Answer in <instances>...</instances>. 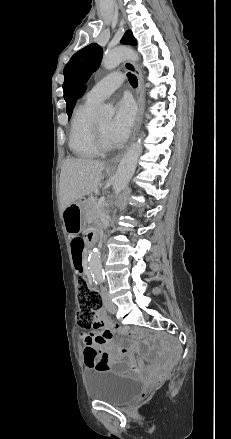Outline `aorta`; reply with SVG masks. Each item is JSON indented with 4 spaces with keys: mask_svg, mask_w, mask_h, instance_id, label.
Segmentation results:
<instances>
[{
    "mask_svg": "<svg viewBox=\"0 0 231 439\" xmlns=\"http://www.w3.org/2000/svg\"><path fill=\"white\" fill-rule=\"evenodd\" d=\"M137 54L129 48L118 47L106 53L103 57L102 64L105 69L112 70L117 67L122 61L126 59L136 60ZM102 118H111L114 114V109L111 106L103 105L99 110ZM142 152L141 138L134 142L129 150L124 154L119 162L118 169L115 175L113 190L115 194H119L129 183L133 174L135 173L139 156ZM89 270L93 277H102V262L101 253L94 249L89 255Z\"/></svg>",
    "mask_w": 231,
    "mask_h": 439,
    "instance_id": "1",
    "label": "aorta"
}]
</instances>
